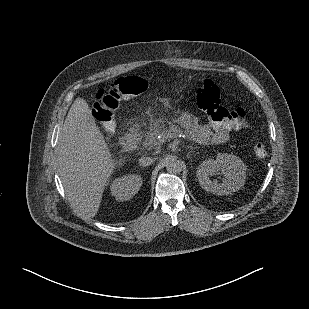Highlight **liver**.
<instances>
[{
    "label": "liver",
    "mask_w": 309,
    "mask_h": 309,
    "mask_svg": "<svg viewBox=\"0 0 309 309\" xmlns=\"http://www.w3.org/2000/svg\"><path fill=\"white\" fill-rule=\"evenodd\" d=\"M59 175L72 204L88 217L101 205L102 193L115 166L88 103L77 98L72 104L57 144Z\"/></svg>",
    "instance_id": "1"
}]
</instances>
